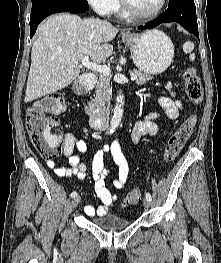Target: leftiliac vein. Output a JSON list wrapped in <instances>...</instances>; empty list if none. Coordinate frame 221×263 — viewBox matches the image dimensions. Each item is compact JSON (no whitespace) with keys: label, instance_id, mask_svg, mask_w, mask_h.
Masks as SVG:
<instances>
[{"label":"left iliac vein","instance_id":"1","mask_svg":"<svg viewBox=\"0 0 221 263\" xmlns=\"http://www.w3.org/2000/svg\"><path fill=\"white\" fill-rule=\"evenodd\" d=\"M143 205L148 208L150 206V201L148 199L143 200Z\"/></svg>","mask_w":221,"mask_h":263}]
</instances>
